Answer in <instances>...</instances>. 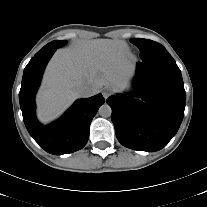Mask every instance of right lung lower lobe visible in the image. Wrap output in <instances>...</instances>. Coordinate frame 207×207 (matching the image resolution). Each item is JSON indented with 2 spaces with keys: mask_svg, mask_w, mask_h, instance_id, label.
<instances>
[{
  "mask_svg": "<svg viewBox=\"0 0 207 207\" xmlns=\"http://www.w3.org/2000/svg\"><path fill=\"white\" fill-rule=\"evenodd\" d=\"M55 50L45 51L30 60L24 69L19 93L25 126L32 138L46 152L62 155L82 149L89 138L90 123L104 103L101 94L77 100L57 121L41 125L35 116V93L43 71Z\"/></svg>",
  "mask_w": 207,
  "mask_h": 207,
  "instance_id": "98d812e1",
  "label": "right lung lower lobe"
}]
</instances>
